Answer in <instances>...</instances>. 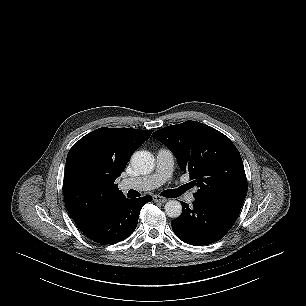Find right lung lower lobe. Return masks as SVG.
I'll list each match as a JSON object with an SVG mask.
<instances>
[{
	"label": "right lung lower lobe",
	"mask_w": 306,
	"mask_h": 306,
	"mask_svg": "<svg viewBox=\"0 0 306 306\" xmlns=\"http://www.w3.org/2000/svg\"><path fill=\"white\" fill-rule=\"evenodd\" d=\"M151 200L152 197L149 195L138 199L125 198L105 214L80 229L95 242L117 243L134 232L141 208Z\"/></svg>",
	"instance_id": "right-lung-lower-lobe-1"
}]
</instances>
